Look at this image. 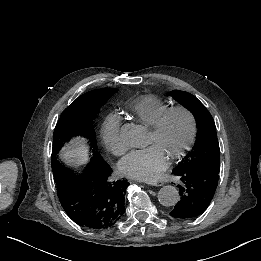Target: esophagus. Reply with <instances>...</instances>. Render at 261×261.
Wrapping results in <instances>:
<instances>
[{"label":"esophagus","mask_w":261,"mask_h":261,"mask_svg":"<svg viewBox=\"0 0 261 261\" xmlns=\"http://www.w3.org/2000/svg\"><path fill=\"white\" fill-rule=\"evenodd\" d=\"M145 183L151 186H162L164 184V182L160 180H145Z\"/></svg>","instance_id":"1"}]
</instances>
